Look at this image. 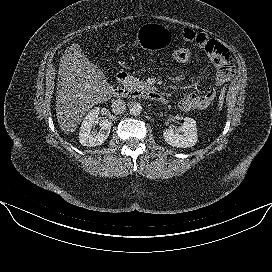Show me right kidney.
<instances>
[{
    "instance_id": "ca27d5eb",
    "label": "right kidney",
    "mask_w": 272,
    "mask_h": 272,
    "mask_svg": "<svg viewBox=\"0 0 272 272\" xmlns=\"http://www.w3.org/2000/svg\"><path fill=\"white\" fill-rule=\"evenodd\" d=\"M99 108L92 109L84 118L79 132V141L83 146L95 147L108 138L112 122L109 119L99 120ZM99 123L100 131L95 133L92 127Z\"/></svg>"
}]
</instances>
